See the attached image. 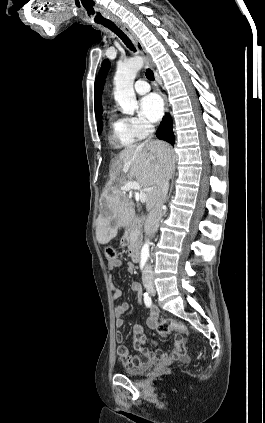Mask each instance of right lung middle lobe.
<instances>
[{
  "mask_svg": "<svg viewBox=\"0 0 265 423\" xmlns=\"http://www.w3.org/2000/svg\"><path fill=\"white\" fill-rule=\"evenodd\" d=\"M97 129H98V133L100 134L102 132V120H101V118L97 121Z\"/></svg>",
  "mask_w": 265,
  "mask_h": 423,
  "instance_id": "obj_1",
  "label": "right lung middle lobe"
}]
</instances>
